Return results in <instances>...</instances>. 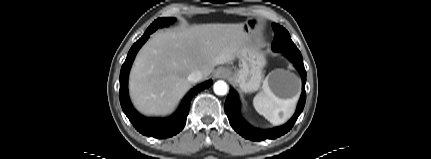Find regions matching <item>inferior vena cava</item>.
I'll use <instances>...</instances> for the list:
<instances>
[{"label": "inferior vena cava", "mask_w": 431, "mask_h": 159, "mask_svg": "<svg viewBox=\"0 0 431 159\" xmlns=\"http://www.w3.org/2000/svg\"><path fill=\"white\" fill-rule=\"evenodd\" d=\"M203 79V73L200 70H195L188 76V81L191 83L199 82Z\"/></svg>", "instance_id": "1"}]
</instances>
